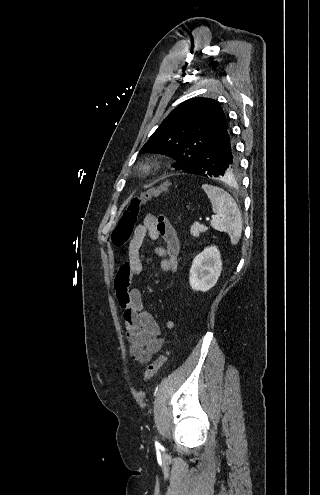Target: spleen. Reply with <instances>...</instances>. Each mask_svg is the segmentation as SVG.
I'll return each mask as SVG.
<instances>
[{
	"label": "spleen",
	"mask_w": 320,
	"mask_h": 495,
	"mask_svg": "<svg viewBox=\"0 0 320 495\" xmlns=\"http://www.w3.org/2000/svg\"><path fill=\"white\" fill-rule=\"evenodd\" d=\"M202 189L212 204L216 217L211 221L213 229L229 235L232 245H237L242 233V218L240 210L233 197L223 189L203 184Z\"/></svg>",
	"instance_id": "spleen-1"
}]
</instances>
